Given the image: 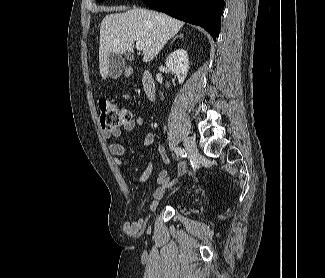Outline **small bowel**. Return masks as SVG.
<instances>
[{
	"label": "small bowel",
	"mask_w": 325,
	"mask_h": 278,
	"mask_svg": "<svg viewBox=\"0 0 325 278\" xmlns=\"http://www.w3.org/2000/svg\"><path fill=\"white\" fill-rule=\"evenodd\" d=\"M145 123V120L143 116L138 115L132 119H130L128 122H126L124 125H122L121 128H117L114 130H105L103 132V135L105 138H118L120 137L122 131L125 132H131L135 130L136 128L143 127ZM155 139V134L153 130L149 129L145 136L142 139V144L144 146H150ZM158 150L160 154L162 155L163 161L165 164H168L169 159L165 154L164 147L162 145L158 146ZM109 152L113 156V161L117 166H120L122 164V157L126 154V149L123 145L119 143H112L109 145ZM153 163L152 161H149L144 171L138 175L132 177V182L136 185H141L146 182V180L149 178L151 172H152ZM188 172V164L185 160H181L176 168L175 171V177L171 178L168 174V171L163 169L159 171L157 176V187L153 191V200L149 204V208L153 209L156 207L158 201L164 196L165 189L167 187L172 186L177 181H179L182 177H184ZM131 228V226H129Z\"/></svg>",
	"instance_id": "small-bowel-1"
}]
</instances>
